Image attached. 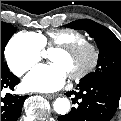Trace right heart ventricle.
I'll use <instances>...</instances> for the list:
<instances>
[{
	"label": "right heart ventricle",
	"instance_id": "e07e8e85",
	"mask_svg": "<svg viewBox=\"0 0 121 121\" xmlns=\"http://www.w3.org/2000/svg\"><path fill=\"white\" fill-rule=\"evenodd\" d=\"M33 36L40 44L41 49H49L58 45H70L78 42H84L85 38L79 34L68 31H48L46 33L31 32L27 33Z\"/></svg>",
	"mask_w": 121,
	"mask_h": 121
}]
</instances>
